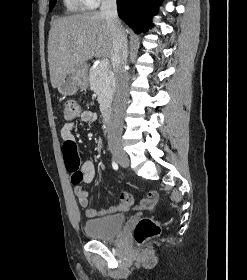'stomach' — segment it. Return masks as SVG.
<instances>
[{"mask_svg": "<svg viewBox=\"0 0 247 280\" xmlns=\"http://www.w3.org/2000/svg\"><path fill=\"white\" fill-rule=\"evenodd\" d=\"M87 71L86 63L75 65L58 86L59 92L63 95H73L79 88L86 89L88 87Z\"/></svg>", "mask_w": 247, "mask_h": 280, "instance_id": "stomach-1", "label": "stomach"}]
</instances>
